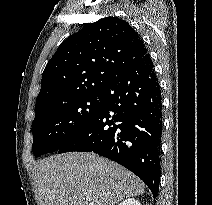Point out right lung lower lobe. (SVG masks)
<instances>
[{"label": "right lung lower lobe", "instance_id": "right-lung-lower-lobe-1", "mask_svg": "<svg viewBox=\"0 0 212 205\" xmlns=\"http://www.w3.org/2000/svg\"><path fill=\"white\" fill-rule=\"evenodd\" d=\"M96 114L58 153L94 152L136 174L156 198L160 182L162 98L149 53L129 65L101 92Z\"/></svg>", "mask_w": 212, "mask_h": 205}]
</instances>
